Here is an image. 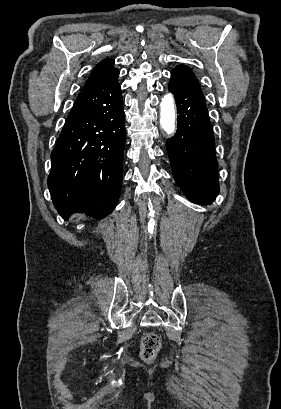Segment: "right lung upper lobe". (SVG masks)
Segmentation results:
<instances>
[{"mask_svg": "<svg viewBox=\"0 0 281 409\" xmlns=\"http://www.w3.org/2000/svg\"><path fill=\"white\" fill-rule=\"evenodd\" d=\"M113 59H104L98 63L92 70L89 79L83 87L82 91L89 90L108 80L109 76L117 71L113 66Z\"/></svg>", "mask_w": 281, "mask_h": 409, "instance_id": "obj_1", "label": "right lung upper lobe"}]
</instances>
